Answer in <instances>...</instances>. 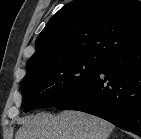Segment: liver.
I'll return each instance as SVG.
<instances>
[{"instance_id":"6515ba94","label":"liver","mask_w":141,"mask_h":139,"mask_svg":"<svg viewBox=\"0 0 141 139\" xmlns=\"http://www.w3.org/2000/svg\"><path fill=\"white\" fill-rule=\"evenodd\" d=\"M15 139H108L114 126L97 116L80 111L27 116Z\"/></svg>"}]
</instances>
